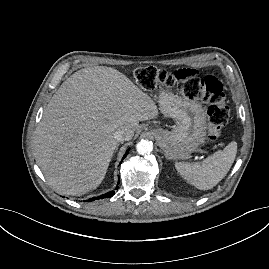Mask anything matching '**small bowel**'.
<instances>
[{
  "label": "small bowel",
  "mask_w": 269,
  "mask_h": 269,
  "mask_svg": "<svg viewBox=\"0 0 269 269\" xmlns=\"http://www.w3.org/2000/svg\"><path fill=\"white\" fill-rule=\"evenodd\" d=\"M194 75L195 74H194V71L192 69H186V70L172 73L170 75V80L172 82H178V81L185 80V79H192L194 77Z\"/></svg>",
  "instance_id": "obj_1"
}]
</instances>
